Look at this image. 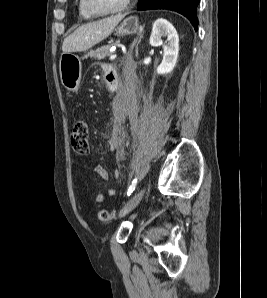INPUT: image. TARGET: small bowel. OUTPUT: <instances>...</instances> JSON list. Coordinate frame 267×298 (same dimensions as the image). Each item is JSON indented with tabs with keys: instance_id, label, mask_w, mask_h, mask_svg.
Listing matches in <instances>:
<instances>
[{
	"instance_id": "small-bowel-1",
	"label": "small bowel",
	"mask_w": 267,
	"mask_h": 298,
	"mask_svg": "<svg viewBox=\"0 0 267 298\" xmlns=\"http://www.w3.org/2000/svg\"><path fill=\"white\" fill-rule=\"evenodd\" d=\"M101 66H102L103 70L105 71V73L109 68H111V65L107 64V63H102ZM120 104H122V101L120 102ZM123 109L125 111H128L129 113H131V115L135 114L134 107H132V106L127 105V106H124ZM92 172L104 180H107L109 177L107 170L102 165H99V164L93 166ZM115 194H116V189H109L108 196H114ZM106 198H107V196L105 194L98 193L96 195V202L102 203L106 200Z\"/></svg>"
}]
</instances>
